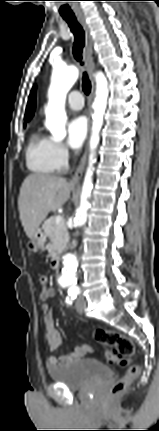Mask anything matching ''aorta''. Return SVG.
Wrapping results in <instances>:
<instances>
[{
	"label": "aorta",
	"instance_id": "aorta-1",
	"mask_svg": "<svg viewBox=\"0 0 159 431\" xmlns=\"http://www.w3.org/2000/svg\"><path fill=\"white\" fill-rule=\"evenodd\" d=\"M79 71L75 66L62 67L56 66L53 69L51 84L48 91L49 102L45 110L46 127L51 132L52 136L61 140L66 136L65 123V99L68 91L76 82ZM108 99V81L102 72L96 74V97L93 103L94 113L92 115L93 126L92 136L90 139L91 154L89 157V166L86 171L81 202L78 213L74 219V229H79L87 220L89 198L93 188L92 175L93 164L96 161L94 150L99 143V132L103 123V116L106 110ZM63 268L61 279L69 286L75 287L77 282V270L79 261L76 255L68 253L63 257Z\"/></svg>",
	"mask_w": 159,
	"mask_h": 431
}]
</instances>
